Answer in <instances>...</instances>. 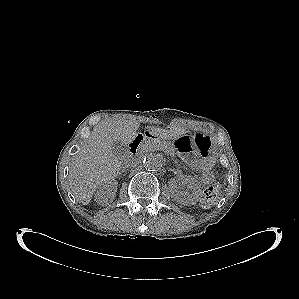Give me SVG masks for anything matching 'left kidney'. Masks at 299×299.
<instances>
[{
	"mask_svg": "<svg viewBox=\"0 0 299 299\" xmlns=\"http://www.w3.org/2000/svg\"><path fill=\"white\" fill-rule=\"evenodd\" d=\"M183 182L187 185L189 192H181L177 189L176 182L174 180L169 181V188L172 194V197L179 203L189 206L194 205L199 199L200 196V186L197 183V180L193 176H185Z\"/></svg>",
	"mask_w": 299,
	"mask_h": 299,
	"instance_id": "1",
	"label": "left kidney"
}]
</instances>
